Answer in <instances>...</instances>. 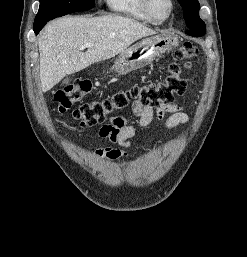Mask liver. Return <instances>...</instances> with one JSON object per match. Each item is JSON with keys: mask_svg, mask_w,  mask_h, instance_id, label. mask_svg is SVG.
<instances>
[{"mask_svg": "<svg viewBox=\"0 0 247 257\" xmlns=\"http://www.w3.org/2000/svg\"><path fill=\"white\" fill-rule=\"evenodd\" d=\"M154 34L137 21L117 15L54 20L38 40L42 91H49L66 75L110 59L135 41ZM85 43L94 45L82 52Z\"/></svg>", "mask_w": 247, "mask_h": 257, "instance_id": "obj_1", "label": "liver"}]
</instances>
